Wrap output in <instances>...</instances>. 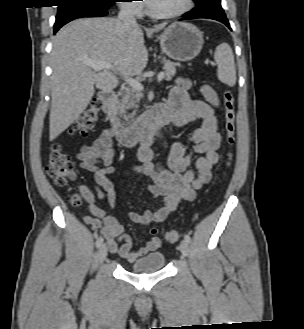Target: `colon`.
<instances>
[{
    "label": "colon",
    "instance_id": "colon-1",
    "mask_svg": "<svg viewBox=\"0 0 304 329\" xmlns=\"http://www.w3.org/2000/svg\"><path fill=\"white\" fill-rule=\"evenodd\" d=\"M224 104V120H225V134L226 145L231 149L236 142L235 138V103L234 96L230 90H225L223 93ZM101 104L98 100L93 99L81 116L76 122L75 131L82 136H85L92 129L94 123L98 119ZM228 160L231 158V152L227 153ZM228 164V162H227ZM48 176L55 182L56 185L63 187L68 185L75 177V167L71 160V157L62 150L60 144H54L51 148L49 161L46 168ZM71 203L74 206L81 204V198L79 195H73L71 197ZM156 230L152 229L151 233H155ZM166 240L171 243L178 242L181 238V234L177 230H167L165 233Z\"/></svg>",
    "mask_w": 304,
    "mask_h": 329
}]
</instances>
